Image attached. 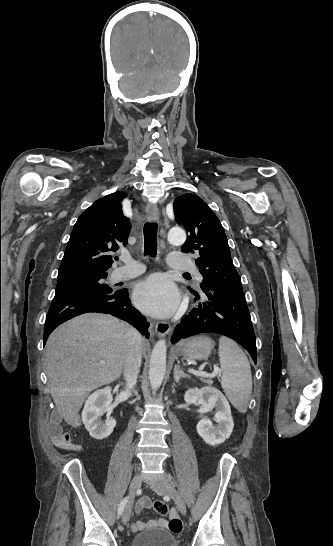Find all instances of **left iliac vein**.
Returning <instances> with one entry per match:
<instances>
[{
    "label": "left iliac vein",
    "mask_w": 333,
    "mask_h": 546,
    "mask_svg": "<svg viewBox=\"0 0 333 546\" xmlns=\"http://www.w3.org/2000/svg\"><path fill=\"white\" fill-rule=\"evenodd\" d=\"M151 488L158 494H167L169 495L175 502L177 508L181 512V514H186V505L179 494V492L168 482L165 480H161L158 483L152 484Z\"/></svg>",
    "instance_id": "1"
}]
</instances>
